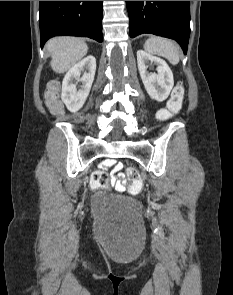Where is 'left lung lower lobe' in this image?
I'll use <instances>...</instances> for the list:
<instances>
[{"label": "left lung lower lobe", "mask_w": 233, "mask_h": 295, "mask_svg": "<svg viewBox=\"0 0 233 295\" xmlns=\"http://www.w3.org/2000/svg\"><path fill=\"white\" fill-rule=\"evenodd\" d=\"M131 38L152 33L176 40L187 53L190 36L189 1H126Z\"/></svg>", "instance_id": "left-lung-lower-lobe-1"}]
</instances>
